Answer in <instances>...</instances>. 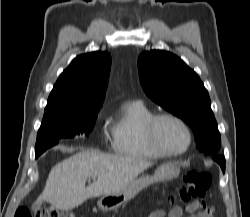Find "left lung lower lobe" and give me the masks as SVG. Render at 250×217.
I'll list each match as a JSON object with an SVG mask.
<instances>
[{
    "label": "left lung lower lobe",
    "mask_w": 250,
    "mask_h": 217,
    "mask_svg": "<svg viewBox=\"0 0 250 217\" xmlns=\"http://www.w3.org/2000/svg\"><path fill=\"white\" fill-rule=\"evenodd\" d=\"M212 157L216 162L219 163L223 172H225V158L220 154L212 155Z\"/></svg>",
    "instance_id": "0a47b994"
}]
</instances>
